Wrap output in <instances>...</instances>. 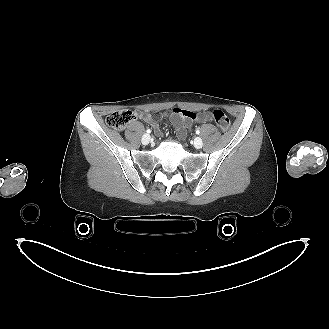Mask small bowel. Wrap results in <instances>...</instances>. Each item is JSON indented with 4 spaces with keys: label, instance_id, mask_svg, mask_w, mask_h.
I'll return each mask as SVG.
<instances>
[{
    "label": "small bowel",
    "instance_id": "1",
    "mask_svg": "<svg viewBox=\"0 0 329 329\" xmlns=\"http://www.w3.org/2000/svg\"><path fill=\"white\" fill-rule=\"evenodd\" d=\"M139 116L142 117L144 121L152 125L156 135H162L161 128L150 113L140 114ZM159 116L161 118H169L170 122L176 129L178 137L180 138H184L186 136L188 130L192 127L194 123H205L210 120V117L206 114H197L180 108H173L169 111L161 113Z\"/></svg>",
    "mask_w": 329,
    "mask_h": 329
}]
</instances>
